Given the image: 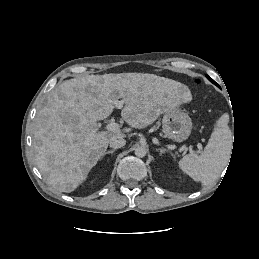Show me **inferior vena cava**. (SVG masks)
I'll return each mask as SVG.
<instances>
[{"label":"inferior vena cava","mask_w":259,"mask_h":259,"mask_svg":"<svg viewBox=\"0 0 259 259\" xmlns=\"http://www.w3.org/2000/svg\"><path fill=\"white\" fill-rule=\"evenodd\" d=\"M110 147L114 149H118L123 147L126 144V141L124 138H111L109 141Z\"/></svg>","instance_id":"1"}]
</instances>
